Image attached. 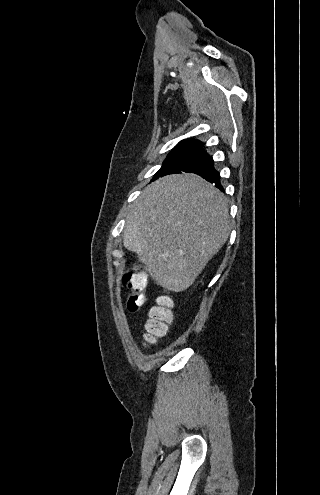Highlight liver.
I'll return each instance as SVG.
<instances>
[{
	"instance_id": "1",
	"label": "liver",
	"mask_w": 320,
	"mask_h": 495,
	"mask_svg": "<svg viewBox=\"0 0 320 495\" xmlns=\"http://www.w3.org/2000/svg\"><path fill=\"white\" fill-rule=\"evenodd\" d=\"M230 217L224 194L197 174L164 176L130 210L124 246L137 253L157 285L189 288L225 244Z\"/></svg>"
}]
</instances>
